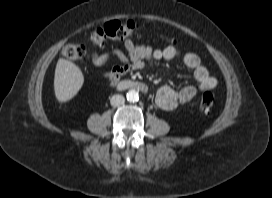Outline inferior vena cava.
I'll return each instance as SVG.
<instances>
[{"instance_id":"1","label":"inferior vena cava","mask_w":272,"mask_h":198,"mask_svg":"<svg viewBox=\"0 0 272 198\" xmlns=\"http://www.w3.org/2000/svg\"><path fill=\"white\" fill-rule=\"evenodd\" d=\"M110 103L112 106L118 107V106L123 105L125 103V98L122 95L116 94L111 97Z\"/></svg>"}]
</instances>
